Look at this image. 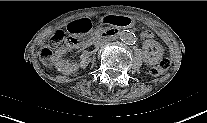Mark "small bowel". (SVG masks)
Here are the masks:
<instances>
[{"label":"small bowel","mask_w":207,"mask_h":123,"mask_svg":"<svg viewBox=\"0 0 207 123\" xmlns=\"http://www.w3.org/2000/svg\"><path fill=\"white\" fill-rule=\"evenodd\" d=\"M104 23L109 27L128 28L131 25L129 17H114L113 15H105ZM93 26V20L90 17H81L75 19L69 24V31L75 34H81L89 30ZM146 37L152 38L150 33L145 34Z\"/></svg>","instance_id":"c3829d8e"}]
</instances>
